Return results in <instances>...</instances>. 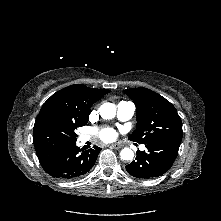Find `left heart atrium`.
<instances>
[{
  "instance_id": "39dd6f15",
  "label": "left heart atrium",
  "mask_w": 221,
  "mask_h": 221,
  "mask_svg": "<svg viewBox=\"0 0 221 221\" xmlns=\"http://www.w3.org/2000/svg\"><path fill=\"white\" fill-rule=\"evenodd\" d=\"M115 135L116 132L111 128H105L100 132V138L106 142L113 140Z\"/></svg>"
}]
</instances>
